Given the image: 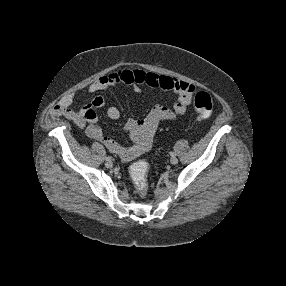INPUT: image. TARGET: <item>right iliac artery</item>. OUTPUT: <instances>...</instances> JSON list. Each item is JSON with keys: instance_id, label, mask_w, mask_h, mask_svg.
Masks as SVG:
<instances>
[{"instance_id": "obj_1", "label": "right iliac artery", "mask_w": 286, "mask_h": 286, "mask_svg": "<svg viewBox=\"0 0 286 286\" xmlns=\"http://www.w3.org/2000/svg\"><path fill=\"white\" fill-rule=\"evenodd\" d=\"M105 160H106V161H112V160H113V157H112V156H107V157L105 158Z\"/></svg>"}]
</instances>
